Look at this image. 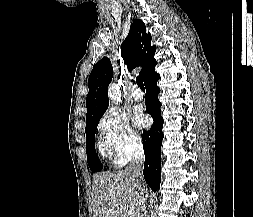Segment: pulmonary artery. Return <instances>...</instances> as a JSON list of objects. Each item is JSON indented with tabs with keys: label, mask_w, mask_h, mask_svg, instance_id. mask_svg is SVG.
Returning a JSON list of instances; mask_svg holds the SVG:
<instances>
[{
	"label": "pulmonary artery",
	"mask_w": 253,
	"mask_h": 217,
	"mask_svg": "<svg viewBox=\"0 0 253 217\" xmlns=\"http://www.w3.org/2000/svg\"><path fill=\"white\" fill-rule=\"evenodd\" d=\"M131 95L137 101H140V100L143 99V93L141 92V90L136 85H134L132 87V89H131Z\"/></svg>",
	"instance_id": "1"
}]
</instances>
